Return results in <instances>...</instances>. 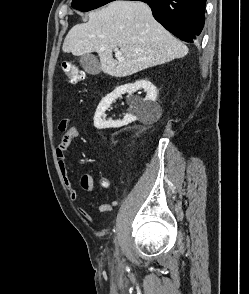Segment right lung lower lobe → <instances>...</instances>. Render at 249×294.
<instances>
[{
    "instance_id": "obj_1",
    "label": "right lung lower lobe",
    "mask_w": 249,
    "mask_h": 294,
    "mask_svg": "<svg viewBox=\"0 0 249 294\" xmlns=\"http://www.w3.org/2000/svg\"><path fill=\"white\" fill-rule=\"evenodd\" d=\"M147 3L154 18L185 42H196L204 26L206 0H139Z\"/></svg>"
}]
</instances>
